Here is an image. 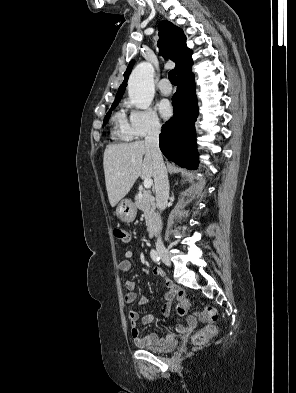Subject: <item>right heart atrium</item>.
<instances>
[{
	"label": "right heart atrium",
	"instance_id": "obj_1",
	"mask_svg": "<svg viewBox=\"0 0 296 393\" xmlns=\"http://www.w3.org/2000/svg\"><path fill=\"white\" fill-rule=\"evenodd\" d=\"M129 126L132 136L141 139L148 135L158 134L162 128V123L153 109L133 108L130 112Z\"/></svg>",
	"mask_w": 296,
	"mask_h": 393
}]
</instances>
